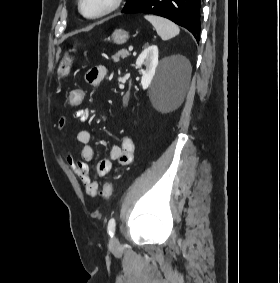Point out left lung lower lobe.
Here are the masks:
<instances>
[{
    "instance_id": "1",
    "label": "left lung lower lobe",
    "mask_w": 280,
    "mask_h": 283,
    "mask_svg": "<svg viewBox=\"0 0 280 283\" xmlns=\"http://www.w3.org/2000/svg\"><path fill=\"white\" fill-rule=\"evenodd\" d=\"M201 0H137L124 13H149L168 18L200 39Z\"/></svg>"
}]
</instances>
